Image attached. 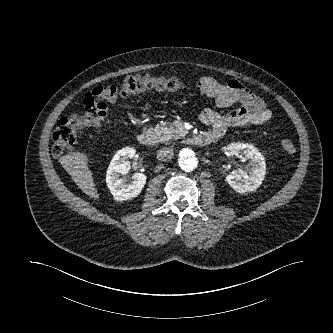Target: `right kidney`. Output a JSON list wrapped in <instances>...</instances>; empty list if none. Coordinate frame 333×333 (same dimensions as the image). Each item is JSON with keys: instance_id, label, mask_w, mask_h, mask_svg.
<instances>
[{"instance_id": "ca27d5eb", "label": "right kidney", "mask_w": 333, "mask_h": 333, "mask_svg": "<svg viewBox=\"0 0 333 333\" xmlns=\"http://www.w3.org/2000/svg\"><path fill=\"white\" fill-rule=\"evenodd\" d=\"M135 153V150L129 147L119 150L108 167L106 183L117 201L121 202L138 196L146 183L147 177L142 173L134 174L131 182L122 177L129 172L130 162L128 159L133 158Z\"/></svg>"}]
</instances>
